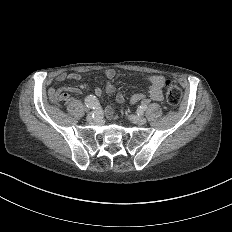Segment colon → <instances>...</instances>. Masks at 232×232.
I'll use <instances>...</instances> for the list:
<instances>
[{
    "instance_id": "colon-1",
    "label": "colon",
    "mask_w": 232,
    "mask_h": 232,
    "mask_svg": "<svg viewBox=\"0 0 232 232\" xmlns=\"http://www.w3.org/2000/svg\"><path fill=\"white\" fill-rule=\"evenodd\" d=\"M165 99L168 103H181L182 91L177 83L168 81ZM69 93L55 92L51 96V103L55 107H62L66 103V98H69Z\"/></svg>"
}]
</instances>
